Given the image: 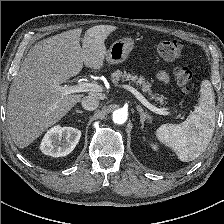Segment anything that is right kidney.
Segmentation results:
<instances>
[{
    "mask_svg": "<svg viewBox=\"0 0 224 224\" xmlns=\"http://www.w3.org/2000/svg\"><path fill=\"white\" fill-rule=\"evenodd\" d=\"M81 137V131L73 127L54 126L44 135L40 144L43 154L62 157L70 154Z\"/></svg>",
    "mask_w": 224,
    "mask_h": 224,
    "instance_id": "1",
    "label": "right kidney"
}]
</instances>
